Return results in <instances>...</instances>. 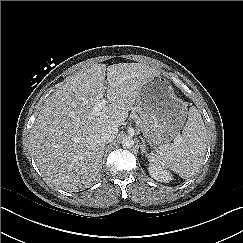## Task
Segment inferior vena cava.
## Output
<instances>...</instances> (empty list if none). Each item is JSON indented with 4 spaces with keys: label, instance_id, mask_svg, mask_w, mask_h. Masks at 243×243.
<instances>
[{
    "label": "inferior vena cava",
    "instance_id": "obj_1",
    "mask_svg": "<svg viewBox=\"0 0 243 243\" xmlns=\"http://www.w3.org/2000/svg\"><path fill=\"white\" fill-rule=\"evenodd\" d=\"M118 134V127L116 126H107L101 133V140L104 144L111 143Z\"/></svg>",
    "mask_w": 243,
    "mask_h": 243
}]
</instances>
